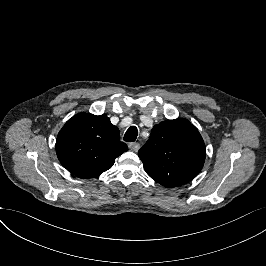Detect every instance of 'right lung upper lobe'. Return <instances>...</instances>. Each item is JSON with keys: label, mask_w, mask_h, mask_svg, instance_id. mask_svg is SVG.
<instances>
[{"label": "right lung upper lobe", "mask_w": 266, "mask_h": 266, "mask_svg": "<svg viewBox=\"0 0 266 266\" xmlns=\"http://www.w3.org/2000/svg\"><path fill=\"white\" fill-rule=\"evenodd\" d=\"M128 150L119 129L107 115L79 113L69 119L56 139L61 164L77 177L94 178L111 168L115 158Z\"/></svg>", "instance_id": "right-lung-upper-lobe-1"}]
</instances>
